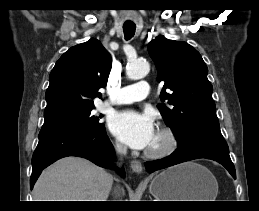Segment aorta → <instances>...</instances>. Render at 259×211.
I'll use <instances>...</instances> for the list:
<instances>
[{
    "instance_id": "1",
    "label": "aorta",
    "mask_w": 259,
    "mask_h": 211,
    "mask_svg": "<svg viewBox=\"0 0 259 211\" xmlns=\"http://www.w3.org/2000/svg\"><path fill=\"white\" fill-rule=\"evenodd\" d=\"M150 71V66L146 61L137 60L128 64L126 74L129 79L139 80L144 78Z\"/></svg>"
}]
</instances>
